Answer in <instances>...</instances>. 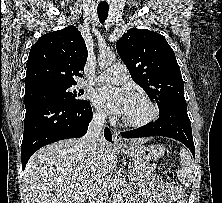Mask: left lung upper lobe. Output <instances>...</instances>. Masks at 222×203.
I'll return each instance as SVG.
<instances>
[{
	"label": "left lung upper lobe",
	"instance_id": "5c2ea615",
	"mask_svg": "<svg viewBox=\"0 0 222 203\" xmlns=\"http://www.w3.org/2000/svg\"><path fill=\"white\" fill-rule=\"evenodd\" d=\"M116 49L132 79L157 102L160 112L173 105L187 107L180 67L164 36L132 28L117 41Z\"/></svg>",
	"mask_w": 222,
	"mask_h": 203
}]
</instances>
